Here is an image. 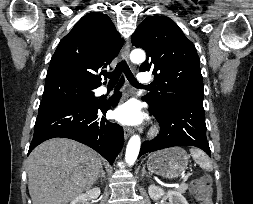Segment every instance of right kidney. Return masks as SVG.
<instances>
[{"label": "right kidney", "mask_w": 253, "mask_h": 204, "mask_svg": "<svg viewBox=\"0 0 253 204\" xmlns=\"http://www.w3.org/2000/svg\"><path fill=\"white\" fill-rule=\"evenodd\" d=\"M100 195V188L95 187L93 189H90L84 194H80L77 197L73 199V201L70 204H87L88 199H96Z\"/></svg>", "instance_id": "obj_1"}]
</instances>
